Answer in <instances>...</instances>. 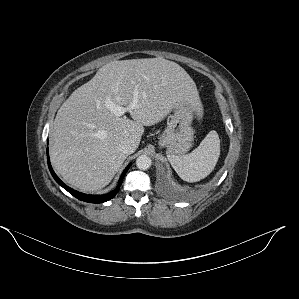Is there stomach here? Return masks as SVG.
<instances>
[{
    "label": "stomach",
    "mask_w": 299,
    "mask_h": 299,
    "mask_svg": "<svg viewBox=\"0 0 299 299\" xmlns=\"http://www.w3.org/2000/svg\"><path fill=\"white\" fill-rule=\"evenodd\" d=\"M196 112V107L188 101L179 103L174 108L168 126L159 140V145L166 148L168 156H180L190 150L194 139L191 124Z\"/></svg>",
    "instance_id": "obj_1"
}]
</instances>
